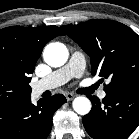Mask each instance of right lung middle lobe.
<instances>
[{"label": "right lung middle lobe", "instance_id": "dd1d6c3e", "mask_svg": "<svg viewBox=\"0 0 139 139\" xmlns=\"http://www.w3.org/2000/svg\"><path fill=\"white\" fill-rule=\"evenodd\" d=\"M30 81L16 62L0 56V105L30 97Z\"/></svg>", "mask_w": 139, "mask_h": 139}]
</instances>
